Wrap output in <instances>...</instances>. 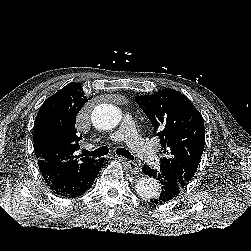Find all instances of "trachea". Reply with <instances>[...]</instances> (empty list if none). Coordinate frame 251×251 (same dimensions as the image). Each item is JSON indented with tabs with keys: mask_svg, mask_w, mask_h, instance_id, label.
<instances>
[{
	"mask_svg": "<svg viewBox=\"0 0 251 251\" xmlns=\"http://www.w3.org/2000/svg\"><path fill=\"white\" fill-rule=\"evenodd\" d=\"M109 152V149L107 146H102L94 151H87L85 149L82 150V155L84 156H92V157H101V156H104V155H107ZM117 154L129 159V160H134V157L133 155H131V153L124 149V148H118L116 150Z\"/></svg>",
	"mask_w": 251,
	"mask_h": 251,
	"instance_id": "3493384b",
	"label": "trachea"
}]
</instances>
